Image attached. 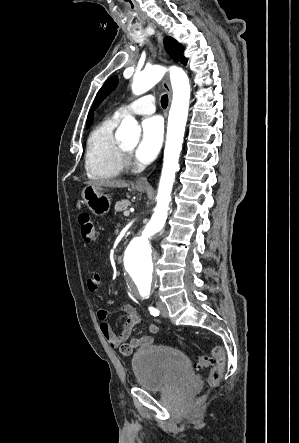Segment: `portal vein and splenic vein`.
<instances>
[{"label":"portal vein and splenic vein","instance_id":"1","mask_svg":"<svg viewBox=\"0 0 299 443\" xmlns=\"http://www.w3.org/2000/svg\"><path fill=\"white\" fill-rule=\"evenodd\" d=\"M123 214H124L125 217H128L130 212L129 211H125Z\"/></svg>","mask_w":299,"mask_h":443}]
</instances>
